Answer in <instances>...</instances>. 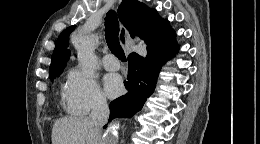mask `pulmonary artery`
Instances as JSON below:
<instances>
[{
    "instance_id": "1",
    "label": "pulmonary artery",
    "mask_w": 260,
    "mask_h": 144,
    "mask_svg": "<svg viewBox=\"0 0 260 144\" xmlns=\"http://www.w3.org/2000/svg\"><path fill=\"white\" fill-rule=\"evenodd\" d=\"M103 64L108 70H118L120 68V62L113 54H107L103 58Z\"/></svg>"
}]
</instances>
